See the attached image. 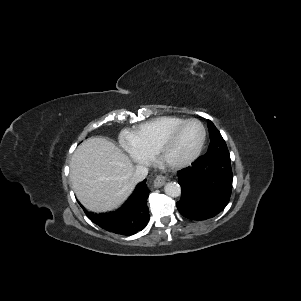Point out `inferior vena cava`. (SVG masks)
I'll return each mask as SVG.
<instances>
[{"instance_id": "1", "label": "inferior vena cava", "mask_w": 301, "mask_h": 301, "mask_svg": "<svg viewBox=\"0 0 301 301\" xmlns=\"http://www.w3.org/2000/svg\"><path fill=\"white\" fill-rule=\"evenodd\" d=\"M148 174V168L143 165L136 166L133 176L131 178L133 183H138L146 178Z\"/></svg>"}]
</instances>
